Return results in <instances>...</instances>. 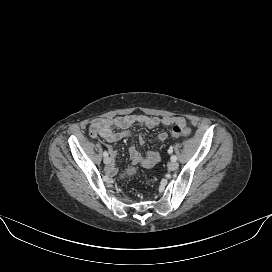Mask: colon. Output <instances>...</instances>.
Returning <instances> with one entry per match:
<instances>
[{"mask_svg":"<svg viewBox=\"0 0 272 272\" xmlns=\"http://www.w3.org/2000/svg\"><path fill=\"white\" fill-rule=\"evenodd\" d=\"M171 132L174 137H187L191 134V130L189 128L178 124L172 127ZM135 173L136 169L133 167H129L121 174V178L125 179L128 177H132L133 175H135Z\"/></svg>","mask_w":272,"mask_h":272,"instance_id":"obj_1","label":"colon"}]
</instances>
